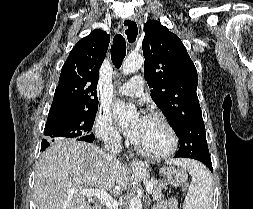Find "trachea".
<instances>
[{"label":"trachea","instance_id":"obj_1","mask_svg":"<svg viewBox=\"0 0 253 209\" xmlns=\"http://www.w3.org/2000/svg\"><path fill=\"white\" fill-rule=\"evenodd\" d=\"M128 27L129 24H128ZM137 27V26H136ZM126 55V41L121 34H117L111 46V59L116 68H120Z\"/></svg>","mask_w":253,"mask_h":209}]
</instances>
